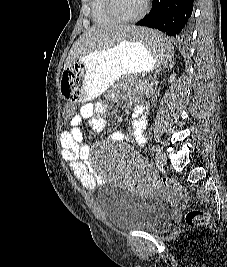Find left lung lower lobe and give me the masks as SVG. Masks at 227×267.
<instances>
[{
  "mask_svg": "<svg viewBox=\"0 0 227 267\" xmlns=\"http://www.w3.org/2000/svg\"><path fill=\"white\" fill-rule=\"evenodd\" d=\"M194 0H153V6L148 15L136 25L155 28L166 35L163 41L171 44L167 36L184 38L190 26Z\"/></svg>",
  "mask_w": 227,
  "mask_h": 267,
  "instance_id": "0a47b994",
  "label": "left lung lower lobe"
}]
</instances>
